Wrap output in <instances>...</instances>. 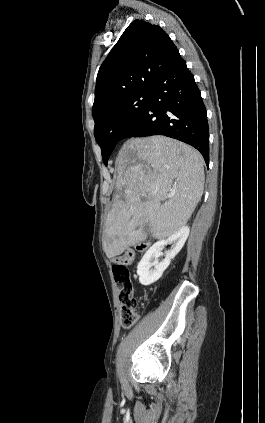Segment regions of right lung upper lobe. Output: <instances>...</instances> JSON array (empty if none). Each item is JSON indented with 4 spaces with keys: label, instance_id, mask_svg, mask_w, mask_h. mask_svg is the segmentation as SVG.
Segmentation results:
<instances>
[{
    "label": "right lung upper lobe",
    "instance_id": "right-lung-upper-lobe-1",
    "mask_svg": "<svg viewBox=\"0 0 265 423\" xmlns=\"http://www.w3.org/2000/svg\"><path fill=\"white\" fill-rule=\"evenodd\" d=\"M178 53L160 26L139 19L133 21L99 69L92 109L94 120L120 100L150 90Z\"/></svg>",
    "mask_w": 265,
    "mask_h": 423
}]
</instances>
